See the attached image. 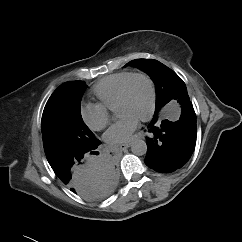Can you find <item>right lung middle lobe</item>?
Returning <instances> with one entry per match:
<instances>
[{
    "label": "right lung middle lobe",
    "instance_id": "dd1d6c3e",
    "mask_svg": "<svg viewBox=\"0 0 242 242\" xmlns=\"http://www.w3.org/2000/svg\"><path fill=\"white\" fill-rule=\"evenodd\" d=\"M87 85L82 81L59 86L47 101L41 120L43 145L48 162L92 149L99 140L83 122L80 103Z\"/></svg>",
    "mask_w": 242,
    "mask_h": 242
}]
</instances>
